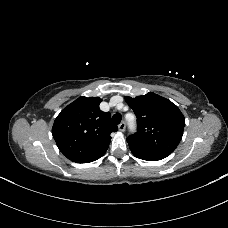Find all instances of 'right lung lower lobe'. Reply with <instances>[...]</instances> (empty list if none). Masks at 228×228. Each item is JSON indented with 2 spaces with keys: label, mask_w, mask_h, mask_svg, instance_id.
Wrapping results in <instances>:
<instances>
[{
  "label": "right lung lower lobe",
  "mask_w": 228,
  "mask_h": 228,
  "mask_svg": "<svg viewBox=\"0 0 228 228\" xmlns=\"http://www.w3.org/2000/svg\"><path fill=\"white\" fill-rule=\"evenodd\" d=\"M105 152L106 151L101 152V153H99V154H97V155H95L93 157H90L88 159H85V160L77 162V163H89V162L95 161V160L99 159L100 157H102L105 154Z\"/></svg>",
  "instance_id": "obj_1"
}]
</instances>
